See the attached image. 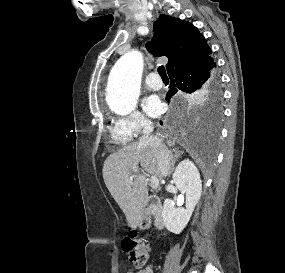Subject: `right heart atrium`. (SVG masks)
<instances>
[{
  "label": "right heart atrium",
  "instance_id": "obj_1",
  "mask_svg": "<svg viewBox=\"0 0 285 273\" xmlns=\"http://www.w3.org/2000/svg\"><path fill=\"white\" fill-rule=\"evenodd\" d=\"M151 126V121L139 111H133L121 116L116 122L118 130L130 138L147 133Z\"/></svg>",
  "mask_w": 285,
  "mask_h": 273
}]
</instances>
